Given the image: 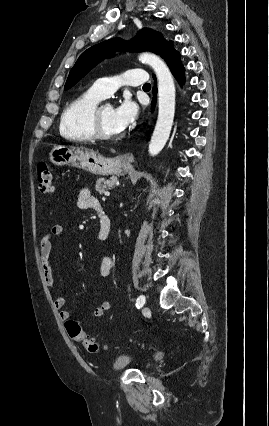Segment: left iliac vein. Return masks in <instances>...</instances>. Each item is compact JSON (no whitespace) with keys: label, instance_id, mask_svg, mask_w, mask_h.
Returning a JSON list of instances; mask_svg holds the SVG:
<instances>
[{"label":"left iliac vein","instance_id":"left-iliac-vein-1","mask_svg":"<svg viewBox=\"0 0 269 426\" xmlns=\"http://www.w3.org/2000/svg\"><path fill=\"white\" fill-rule=\"evenodd\" d=\"M143 311L146 316L150 314V310L147 307H145Z\"/></svg>","mask_w":269,"mask_h":426}]
</instances>
